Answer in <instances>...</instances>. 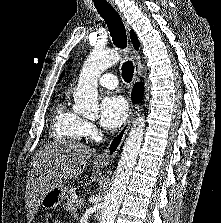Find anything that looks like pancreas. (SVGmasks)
Instances as JSON below:
<instances>
[{"mask_svg": "<svg viewBox=\"0 0 221 223\" xmlns=\"http://www.w3.org/2000/svg\"><path fill=\"white\" fill-rule=\"evenodd\" d=\"M74 190H70L67 194V202L63 205L64 210L69 212H76L78 205V200L73 198Z\"/></svg>", "mask_w": 221, "mask_h": 223, "instance_id": "pancreas-1", "label": "pancreas"}]
</instances>
